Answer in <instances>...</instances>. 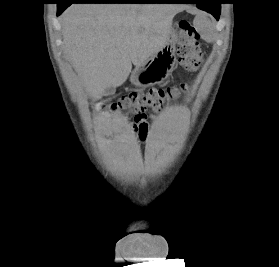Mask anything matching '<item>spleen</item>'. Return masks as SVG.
I'll use <instances>...</instances> for the list:
<instances>
[{"mask_svg": "<svg viewBox=\"0 0 279 267\" xmlns=\"http://www.w3.org/2000/svg\"><path fill=\"white\" fill-rule=\"evenodd\" d=\"M198 29L204 34V36L209 37L211 36V23L210 21L205 18H198L197 20Z\"/></svg>", "mask_w": 279, "mask_h": 267, "instance_id": "spleen-1", "label": "spleen"}]
</instances>
